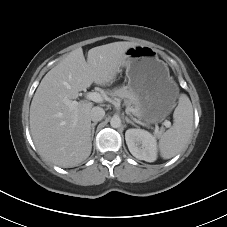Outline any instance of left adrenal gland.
<instances>
[{
  "instance_id": "left-adrenal-gland-1",
  "label": "left adrenal gland",
  "mask_w": 227,
  "mask_h": 227,
  "mask_svg": "<svg viewBox=\"0 0 227 227\" xmlns=\"http://www.w3.org/2000/svg\"><path fill=\"white\" fill-rule=\"evenodd\" d=\"M125 121L127 122V123H130L131 125H133V126H137L133 121H131L128 117H125Z\"/></svg>"
}]
</instances>
